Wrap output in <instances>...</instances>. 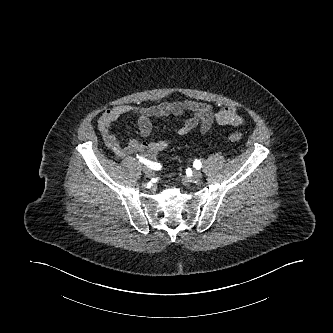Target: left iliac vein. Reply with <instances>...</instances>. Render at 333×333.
<instances>
[{
    "instance_id": "4c4485c4",
    "label": "left iliac vein",
    "mask_w": 333,
    "mask_h": 333,
    "mask_svg": "<svg viewBox=\"0 0 333 333\" xmlns=\"http://www.w3.org/2000/svg\"><path fill=\"white\" fill-rule=\"evenodd\" d=\"M202 178V173L198 170H194L193 173H192V179L194 181H200Z\"/></svg>"
}]
</instances>
